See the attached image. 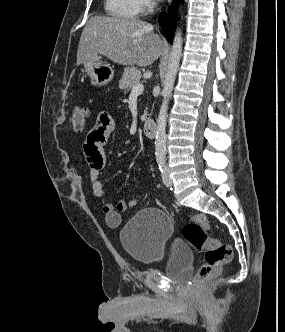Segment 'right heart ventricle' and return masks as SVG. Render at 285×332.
Segmentation results:
<instances>
[{
	"label": "right heart ventricle",
	"instance_id": "1",
	"mask_svg": "<svg viewBox=\"0 0 285 332\" xmlns=\"http://www.w3.org/2000/svg\"><path fill=\"white\" fill-rule=\"evenodd\" d=\"M106 13L114 18L131 20L139 13L137 0H104Z\"/></svg>",
	"mask_w": 285,
	"mask_h": 332
}]
</instances>
